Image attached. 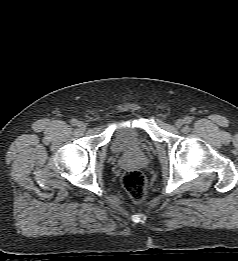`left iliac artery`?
Segmentation results:
<instances>
[{"label":"left iliac artery","instance_id":"left-iliac-artery-1","mask_svg":"<svg viewBox=\"0 0 238 261\" xmlns=\"http://www.w3.org/2000/svg\"><path fill=\"white\" fill-rule=\"evenodd\" d=\"M185 123L190 124L192 122V118L187 116L184 118Z\"/></svg>","mask_w":238,"mask_h":261}]
</instances>
